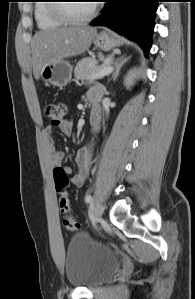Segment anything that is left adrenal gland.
Returning a JSON list of instances; mask_svg holds the SVG:
<instances>
[{
  "label": "left adrenal gland",
  "instance_id": "obj_1",
  "mask_svg": "<svg viewBox=\"0 0 195 299\" xmlns=\"http://www.w3.org/2000/svg\"><path fill=\"white\" fill-rule=\"evenodd\" d=\"M130 57L126 58L124 56L120 57L119 59H117L115 62H114V72H113V80H116V78L118 77L119 75V71L121 69V67L123 66V64L125 62H127V60L129 59Z\"/></svg>",
  "mask_w": 195,
  "mask_h": 299
}]
</instances>
